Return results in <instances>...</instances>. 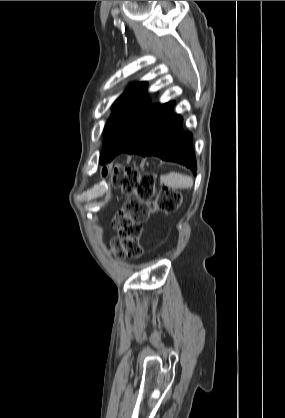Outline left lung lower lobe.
<instances>
[{"label": "left lung lower lobe", "mask_w": 285, "mask_h": 418, "mask_svg": "<svg viewBox=\"0 0 285 418\" xmlns=\"http://www.w3.org/2000/svg\"><path fill=\"white\" fill-rule=\"evenodd\" d=\"M174 105V101L160 105L123 152L158 156L183 164L195 173L192 134L182 130V117L173 113ZM103 155H107V151H103Z\"/></svg>", "instance_id": "1"}]
</instances>
